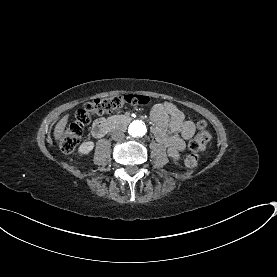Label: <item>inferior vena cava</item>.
Instances as JSON below:
<instances>
[{
	"label": "inferior vena cava",
	"mask_w": 277,
	"mask_h": 277,
	"mask_svg": "<svg viewBox=\"0 0 277 277\" xmlns=\"http://www.w3.org/2000/svg\"><path fill=\"white\" fill-rule=\"evenodd\" d=\"M111 137L115 141H122L125 138V134L122 131L116 130L112 132Z\"/></svg>",
	"instance_id": "obj_1"
}]
</instances>
